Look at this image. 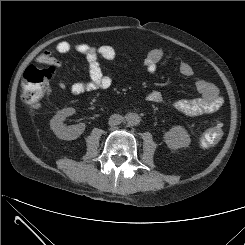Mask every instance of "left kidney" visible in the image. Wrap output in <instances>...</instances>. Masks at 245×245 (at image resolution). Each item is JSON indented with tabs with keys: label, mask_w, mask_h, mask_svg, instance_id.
Listing matches in <instances>:
<instances>
[{
	"label": "left kidney",
	"mask_w": 245,
	"mask_h": 245,
	"mask_svg": "<svg viewBox=\"0 0 245 245\" xmlns=\"http://www.w3.org/2000/svg\"><path fill=\"white\" fill-rule=\"evenodd\" d=\"M167 146L171 149H179L189 146L191 139L185 128L174 126L164 135Z\"/></svg>",
	"instance_id": "left-kidney-1"
}]
</instances>
